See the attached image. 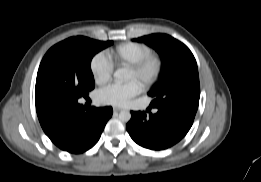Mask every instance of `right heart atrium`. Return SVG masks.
<instances>
[{
	"label": "right heart atrium",
	"mask_w": 261,
	"mask_h": 182,
	"mask_svg": "<svg viewBox=\"0 0 261 182\" xmlns=\"http://www.w3.org/2000/svg\"><path fill=\"white\" fill-rule=\"evenodd\" d=\"M90 70L94 82L97 85H104L111 79L114 65L106 53L100 52L93 57Z\"/></svg>",
	"instance_id": "right-heart-atrium-1"
}]
</instances>
